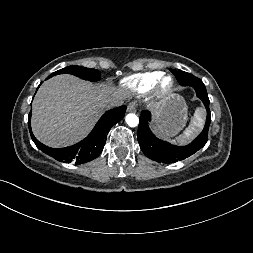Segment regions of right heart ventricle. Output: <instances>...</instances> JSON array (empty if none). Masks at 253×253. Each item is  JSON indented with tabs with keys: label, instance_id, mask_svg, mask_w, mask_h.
<instances>
[{
	"label": "right heart ventricle",
	"instance_id": "e07e8e85",
	"mask_svg": "<svg viewBox=\"0 0 253 253\" xmlns=\"http://www.w3.org/2000/svg\"><path fill=\"white\" fill-rule=\"evenodd\" d=\"M162 74L159 71L138 73L124 78L121 83L132 94L143 95L153 88L155 82Z\"/></svg>",
	"mask_w": 253,
	"mask_h": 253
}]
</instances>
